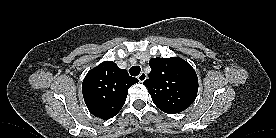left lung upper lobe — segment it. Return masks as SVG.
<instances>
[{
    "mask_svg": "<svg viewBox=\"0 0 276 138\" xmlns=\"http://www.w3.org/2000/svg\"><path fill=\"white\" fill-rule=\"evenodd\" d=\"M149 65L152 71L143 84L161 111L179 113L194 102L198 77L188 62L177 57L151 58Z\"/></svg>",
    "mask_w": 276,
    "mask_h": 138,
    "instance_id": "1",
    "label": "left lung upper lobe"
}]
</instances>
